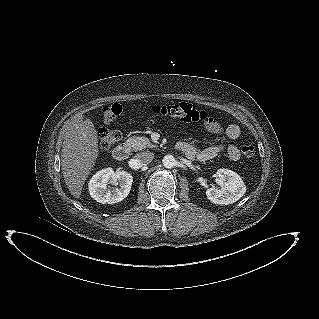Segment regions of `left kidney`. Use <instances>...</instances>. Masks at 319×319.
Listing matches in <instances>:
<instances>
[{"label": "left kidney", "mask_w": 319, "mask_h": 319, "mask_svg": "<svg viewBox=\"0 0 319 319\" xmlns=\"http://www.w3.org/2000/svg\"><path fill=\"white\" fill-rule=\"evenodd\" d=\"M216 174L221 188L213 187L206 191V196L212 203L228 205L244 196L246 186L236 172L228 169H218Z\"/></svg>", "instance_id": "left-kidney-1"}]
</instances>
